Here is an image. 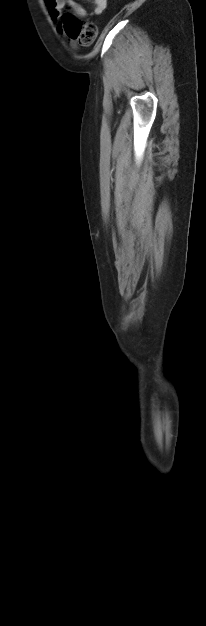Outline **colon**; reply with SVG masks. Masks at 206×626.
Here are the masks:
<instances>
[{
  "instance_id": "colon-1",
  "label": "colon",
  "mask_w": 206,
  "mask_h": 626,
  "mask_svg": "<svg viewBox=\"0 0 206 626\" xmlns=\"http://www.w3.org/2000/svg\"><path fill=\"white\" fill-rule=\"evenodd\" d=\"M63 20L67 34L81 45L90 46L94 42L97 36V27L94 23L83 22L71 14H65Z\"/></svg>"
}]
</instances>
